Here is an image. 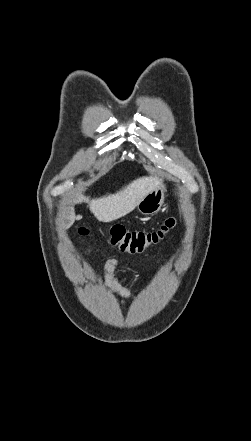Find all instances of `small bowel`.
I'll list each match as a JSON object with an SVG mask.
<instances>
[{"label":"small bowel","instance_id":"1","mask_svg":"<svg viewBox=\"0 0 251 441\" xmlns=\"http://www.w3.org/2000/svg\"><path fill=\"white\" fill-rule=\"evenodd\" d=\"M118 268L119 261L117 259H108L105 263L104 275H99L97 277V283L103 290H107L124 299H131L133 297L131 291L123 286L117 278Z\"/></svg>","mask_w":251,"mask_h":441}]
</instances>
